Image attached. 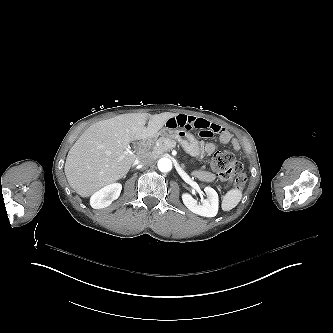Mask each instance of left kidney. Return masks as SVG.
Segmentation results:
<instances>
[{
  "label": "left kidney",
  "mask_w": 333,
  "mask_h": 333,
  "mask_svg": "<svg viewBox=\"0 0 333 333\" xmlns=\"http://www.w3.org/2000/svg\"><path fill=\"white\" fill-rule=\"evenodd\" d=\"M207 199L201 205L188 193L182 194L184 205L193 213L204 217H214L218 213L219 199L217 192L207 186L204 188Z\"/></svg>",
  "instance_id": "1"
}]
</instances>
